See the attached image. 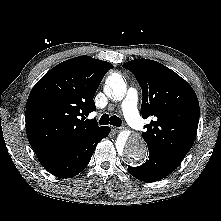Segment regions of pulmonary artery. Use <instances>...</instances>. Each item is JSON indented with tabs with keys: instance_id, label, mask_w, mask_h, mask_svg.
<instances>
[{
	"instance_id": "e3ab8cb5",
	"label": "pulmonary artery",
	"mask_w": 221,
	"mask_h": 221,
	"mask_svg": "<svg viewBox=\"0 0 221 221\" xmlns=\"http://www.w3.org/2000/svg\"><path fill=\"white\" fill-rule=\"evenodd\" d=\"M138 94L134 88H130L122 101L121 108L127 122L135 129H142L144 123L137 110Z\"/></svg>"
}]
</instances>
